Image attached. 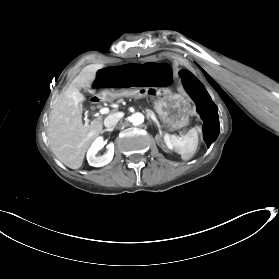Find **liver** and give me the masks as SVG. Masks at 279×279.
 I'll use <instances>...</instances> for the list:
<instances>
[{"instance_id": "1", "label": "liver", "mask_w": 279, "mask_h": 279, "mask_svg": "<svg viewBox=\"0 0 279 279\" xmlns=\"http://www.w3.org/2000/svg\"><path fill=\"white\" fill-rule=\"evenodd\" d=\"M98 70L93 64L86 66L59 95L49 113L47 137L50 149L60 162L74 170L82 166L86 151L103 128L101 117L88 125L83 124L82 103L85 98L79 90L84 88L91 95L96 93L92 84Z\"/></svg>"}]
</instances>
